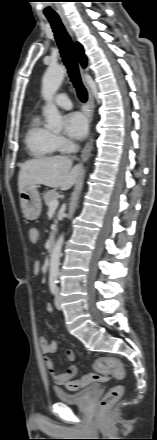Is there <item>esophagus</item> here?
<instances>
[{
	"label": "esophagus",
	"mask_w": 157,
	"mask_h": 440,
	"mask_svg": "<svg viewBox=\"0 0 157 440\" xmlns=\"http://www.w3.org/2000/svg\"><path fill=\"white\" fill-rule=\"evenodd\" d=\"M67 31L69 32L70 35H73L72 30L67 22V20L65 18L62 19ZM80 72H81V76L83 79V83L87 89V93H88V101L86 103L85 106V112L86 115L88 117V123L90 124L92 121V117H93V110H94V98H93V94L91 91V88L86 80V74L83 68H80ZM90 154V143L87 142L86 145L84 146L82 153H81V160L82 161H86L89 157Z\"/></svg>",
	"instance_id": "34e87169"
}]
</instances>
